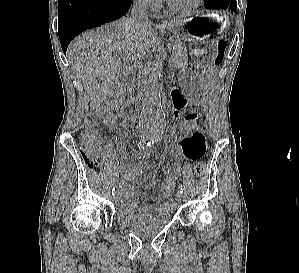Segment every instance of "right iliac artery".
Here are the masks:
<instances>
[{
  "label": "right iliac artery",
  "instance_id": "obj_1",
  "mask_svg": "<svg viewBox=\"0 0 299 273\" xmlns=\"http://www.w3.org/2000/svg\"><path fill=\"white\" fill-rule=\"evenodd\" d=\"M145 146H146L145 143H140V145H139V149H140V150H141V149H144ZM112 194H113V195L115 194V188L112 189Z\"/></svg>",
  "mask_w": 299,
  "mask_h": 273
}]
</instances>
